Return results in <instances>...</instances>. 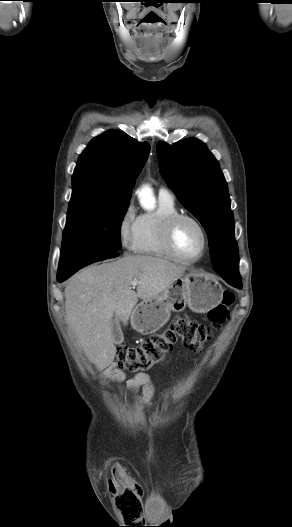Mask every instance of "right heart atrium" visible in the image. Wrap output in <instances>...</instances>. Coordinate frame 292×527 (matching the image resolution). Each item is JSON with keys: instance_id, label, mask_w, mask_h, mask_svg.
Instances as JSON below:
<instances>
[{"instance_id": "d8ad5b80", "label": "right heart atrium", "mask_w": 292, "mask_h": 527, "mask_svg": "<svg viewBox=\"0 0 292 527\" xmlns=\"http://www.w3.org/2000/svg\"><path fill=\"white\" fill-rule=\"evenodd\" d=\"M138 217L136 208L132 202H129L126 205L120 215L118 222V236L121 245L126 249L133 248Z\"/></svg>"}]
</instances>
